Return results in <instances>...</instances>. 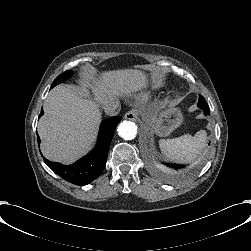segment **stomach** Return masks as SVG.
<instances>
[{
  "label": "stomach",
  "instance_id": "stomach-1",
  "mask_svg": "<svg viewBox=\"0 0 251 251\" xmlns=\"http://www.w3.org/2000/svg\"><path fill=\"white\" fill-rule=\"evenodd\" d=\"M150 110V116L143 111L142 120L157 137H168L184 124V111L166 98L155 99Z\"/></svg>",
  "mask_w": 251,
  "mask_h": 251
}]
</instances>
